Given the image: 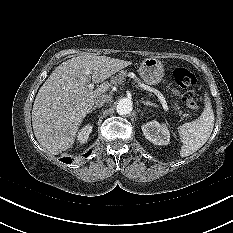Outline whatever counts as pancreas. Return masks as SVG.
I'll use <instances>...</instances> for the list:
<instances>
[{
	"label": "pancreas",
	"instance_id": "cf45deb5",
	"mask_svg": "<svg viewBox=\"0 0 233 233\" xmlns=\"http://www.w3.org/2000/svg\"><path fill=\"white\" fill-rule=\"evenodd\" d=\"M126 71H121L119 74L111 78V83L115 86H118L122 84L124 77L126 76ZM174 109L177 111V114L179 116H182L183 118H189L190 115L188 113H183L182 110H180V107L175 103Z\"/></svg>",
	"mask_w": 233,
	"mask_h": 233
}]
</instances>
